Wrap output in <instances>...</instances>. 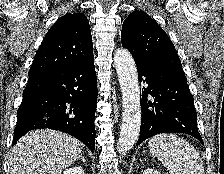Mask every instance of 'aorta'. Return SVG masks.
<instances>
[{"label":"aorta","mask_w":224,"mask_h":174,"mask_svg":"<svg viewBox=\"0 0 224 174\" xmlns=\"http://www.w3.org/2000/svg\"><path fill=\"white\" fill-rule=\"evenodd\" d=\"M114 65L122 92L123 111L118 152L125 155L132 149L140 133V89L136 65L128 50L120 48L116 51Z\"/></svg>","instance_id":"762f6f07"}]
</instances>
